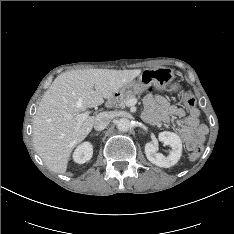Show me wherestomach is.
I'll return each mask as SVG.
<instances>
[{"mask_svg":"<svg viewBox=\"0 0 234 234\" xmlns=\"http://www.w3.org/2000/svg\"><path fill=\"white\" fill-rule=\"evenodd\" d=\"M173 79L174 72L169 68L160 67L154 69H145L137 80H132L124 84L116 92V95L122 97L126 95L141 94L151 85H154L157 89L166 90Z\"/></svg>","mask_w":234,"mask_h":234,"instance_id":"stomach-1","label":"stomach"}]
</instances>
